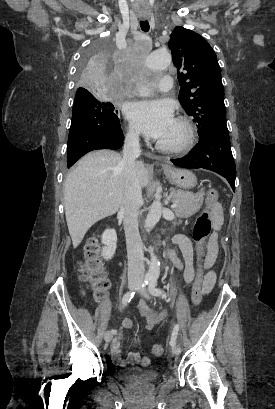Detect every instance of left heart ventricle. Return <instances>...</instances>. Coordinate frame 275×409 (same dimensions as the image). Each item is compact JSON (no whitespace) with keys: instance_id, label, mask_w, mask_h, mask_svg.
Returning <instances> with one entry per match:
<instances>
[{"instance_id":"left-heart-ventricle-1","label":"left heart ventricle","mask_w":275,"mask_h":409,"mask_svg":"<svg viewBox=\"0 0 275 409\" xmlns=\"http://www.w3.org/2000/svg\"><path fill=\"white\" fill-rule=\"evenodd\" d=\"M182 135V128L173 121L170 127L161 136L156 138L155 141L165 144H174L182 137Z\"/></svg>"}]
</instances>
